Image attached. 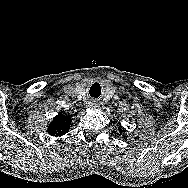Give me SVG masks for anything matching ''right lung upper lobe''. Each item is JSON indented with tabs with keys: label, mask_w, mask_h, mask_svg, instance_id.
<instances>
[{
	"label": "right lung upper lobe",
	"mask_w": 188,
	"mask_h": 188,
	"mask_svg": "<svg viewBox=\"0 0 188 188\" xmlns=\"http://www.w3.org/2000/svg\"><path fill=\"white\" fill-rule=\"evenodd\" d=\"M71 118L59 113L49 124L47 132L52 136H62L69 131Z\"/></svg>",
	"instance_id": "obj_1"
}]
</instances>
